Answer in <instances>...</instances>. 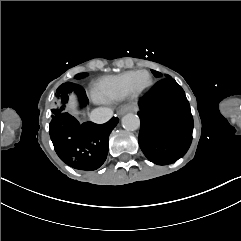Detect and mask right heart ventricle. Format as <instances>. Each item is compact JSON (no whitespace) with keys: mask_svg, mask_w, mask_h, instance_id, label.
<instances>
[{"mask_svg":"<svg viewBox=\"0 0 241 241\" xmlns=\"http://www.w3.org/2000/svg\"><path fill=\"white\" fill-rule=\"evenodd\" d=\"M133 78L131 73L102 78L94 84L91 95L93 99L101 102L121 99L129 92Z\"/></svg>","mask_w":241,"mask_h":241,"instance_id":"right-heart-ventricle-1","label":"right heart ventricle"}]
</instances>
